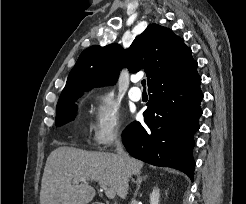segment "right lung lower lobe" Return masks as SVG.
Listing matches in <instances>:
<instances>
[{
  "label": "right lung lower lobe",
  "mask_w": 246,
  "mask_h": 204,
  "mask_svg": "<svg viewBox=\"0 0 246 204\" xmlns=\"http://www.w3.org/2000/svg\"><path fill=\"white\" fill-rule=\"evenodd\" d=\"M197 62L152 82L144 122H133L122 138L128 153L144 162L176 168L193 180V135L202 115Z\"/></svg>",
  "instance_id": "obj_1"
}]
</instances>
